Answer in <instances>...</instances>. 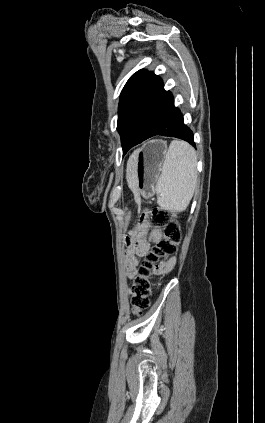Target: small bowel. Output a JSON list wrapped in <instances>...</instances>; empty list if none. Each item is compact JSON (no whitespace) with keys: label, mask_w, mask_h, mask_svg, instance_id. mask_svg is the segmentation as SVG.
<instances>
[{"label":"small bowel","mask_w":265,"mask_h":423,"mask_svg":"<svg viewBox=\"0 0 265 423\" xmlns=\"http://www.w3.org/2000/svg\"><path fill=\"white\" fill-rule=\"evenodd\" d=\"M160 236L161 232L158 229H153L147 235L144 233L138 243L128 249L125 260L128 278L133 279L137 275L140 259L147 253L150 243L158 240ZM175 265L176 258H170L157 264L154 267V273L158 275L167 274L173 270Z\"/></svg>","instance_id":"c3829d8e"}]
</instances>
